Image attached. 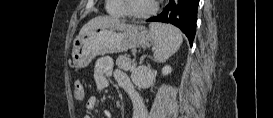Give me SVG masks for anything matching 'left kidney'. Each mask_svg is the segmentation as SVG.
Masks as SVG:
<instances>
[{
  "label": "left kidney",
  "instance_id": "obj_1",
  "mask_svg": "<svg viewBox=\"0 0 273 118\" xmlns=\"http://www.w3.org/2000/svg\"><path fill=\"white\" fill-rule=\"evenodd\" d=\"M172 72V68L170 66H164L162 68V74L163 75H168Z\"/></svg>",
  "mask_w": 273,
  "mask_h": 118
}]
</instances>
